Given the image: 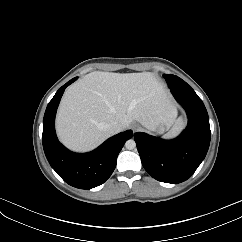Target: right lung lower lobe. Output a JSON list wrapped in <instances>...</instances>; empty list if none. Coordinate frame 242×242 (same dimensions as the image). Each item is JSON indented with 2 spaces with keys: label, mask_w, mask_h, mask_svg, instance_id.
I'll use <instances>...</instances> for the list:
<instances>
[{
  "label": "right lung lower lobe",
  "mask_w": 242,
  "mask_h": 242,
  "mask_svg": "<svg viewBox=\"0 0 242 242\" xmlns=\"http://www.w3.org/2000/svg\"><path fill=\"white\" fill-rule=\"evenodd\" d=\"M76 79L63 85L49 102L43 119L42 141L51 167L66 183L80 189H91L103 184L111 176L117 156L133 132L127 130L119 133L89 153L77 154L67 150L57 139L54 122L65 88Z\"/></svg>",
  "instance_id": "right-lung-lower-lobe-1"
}]
</instances>
